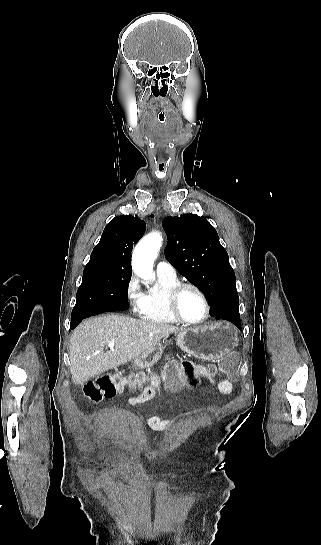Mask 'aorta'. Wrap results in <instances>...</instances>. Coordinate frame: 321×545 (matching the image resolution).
I'll return each instance as SVG.
<instances>
[{
	"mask_svg": "<svg viewBox=\"0 0 321 545\" xmlns=\"http://www.w3.org/2000/svg\"><path fill=\"white\" fill-rule=\"evenodd\" d=\"M162 236L154 232L145 236L135 247L132 255V267L142 279H148L153 270V264L162 246Z\"/></svg>",
	"mask_w": 321,
	"mask_h": 545,
	"instance_id": "obj_1",
	"label": "aorta"
}]
</instances>
